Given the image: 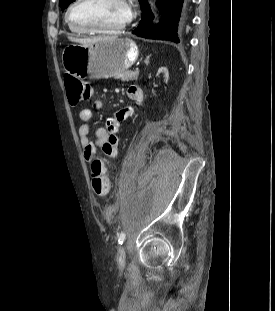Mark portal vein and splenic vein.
<instances>
[{"instance_id": "portal-vein-and-splenic-vein-1", "label": "portal vein and splenic vein", "mask_w": 275, "mask_h": 311, "mask_svg": "<svg viewBox=\"0 0 275 311\" xmlns=\"http://www.w3.org/2000/svg\"><path fill=\"white\" fill-rule=\"evenodd\" d=\"M135 72L139 73V68H136V69H135Z\"/></svg>"}]
</instances>
